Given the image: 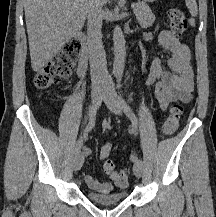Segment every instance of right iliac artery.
<instances>
[{"instance_id":"82829eb1","label":"right iliac artery","mask_w":216,"mask_h":217,"mask_svg":"<svg viewBox=\"0 0 216 217\" xmlns=\"http://www.w3.org/2000/svg\"><path fill=\"white\" fill-rule=\"evenodd\" d=\"M96 111H97V107L96 105H92L89 109V122L88 125L85 128V131L83 133V135L80 137V139L77 141L75 149H74V153L77 154L79 153L83 140L87 137L88 133L92 130V128L95 125V117H96Z\"/></svg>"}]
</instances>
